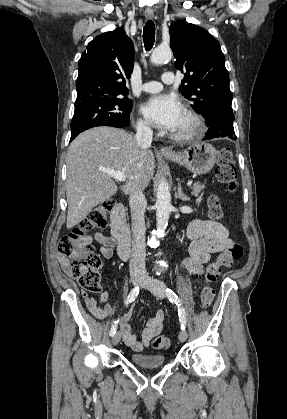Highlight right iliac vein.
<instances>
[{
	"label": "right iliac vein",
	"instance_id": "right-iliac-vein-1",
	"mask_svg": "<svg viewBox=\"0 0 287 419\" xmlns=\"http://www.w3.org/2000/svg\"><path fill=\"white\" fill-rule=\"evenodd\" d=\"M131 282L134 286L139 285L142 282V278L139 276H133L131 278ZM121 339V333L120 332H116L113 336H112V343L113 345H117L119 343Z\"/></svg>",
	"mask_w": 287,
	"mask_h": 419
}]
</instances>
